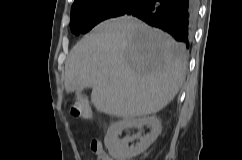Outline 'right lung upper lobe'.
<instances>
[{"mask_svg":"<svg viewBox=\"0 0 242 160\" xmlns=\"http://www.w3.org/2000/svg\"><path fill=\"white\" fill-rule=\"evenodd\" d=\"M80 1H82V0H75L74 3H73V5L77 4V3L80 2ZM73 5H72V6H73Z\"/></svg>","mask_w":242,"mask_h":160,"instance_id":"obj_1","label":"right lung upper lobe"}]
</instances>
